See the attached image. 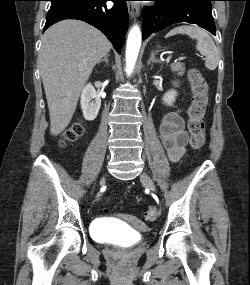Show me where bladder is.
<instances>
[{
  "label": "bladder",
  "mask_w": 250,
  "mask_h": 285,
  "mask_svg": "<svg viewBox=\"0 0 250 285\" xmlns=\"http://www.w3.org/2000/svg\"><path fill=\"white\" fill-rule=\"evenodd\" d=\"M92 233L102 243L134 245L140 240L139 234L105 220L96 221L92 226Z\"/></svg>",
  "instance_id": "obj_1"
}]
</instances>
